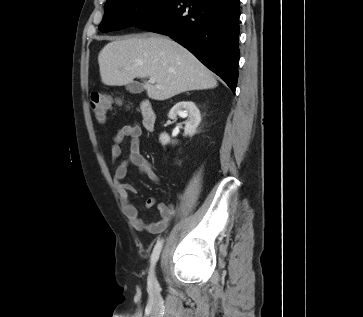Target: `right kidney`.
<instances>
[{"label":"right kidney","mask_w":363,"mask_h":317,"mask_svg":"<svg viewBox=\"0 0 363 317\" xmlns=\"http://www.w3.org/2000/svg\"><path fill=\"white\" fill-rule=\"evenodd\" d=\"M177 115L182 118L188 117V120L185 122L184 135L193 136L201 122V115L195 103L192 101L178 102L169 111L168 117L174 119ZM159 140L163 145L170 143V137L165 132L161 133Z\"/></svg>","instance_id":"1"}]
</instances>
